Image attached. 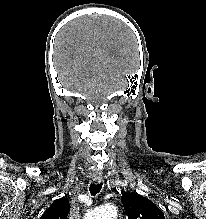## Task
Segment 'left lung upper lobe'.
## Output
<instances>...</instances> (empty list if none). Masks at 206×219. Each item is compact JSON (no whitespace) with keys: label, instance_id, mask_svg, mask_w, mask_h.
<instances>
[{"label":"left lung upper lobe","instance_id":"obj_1","mask_svg":"<svg viewBox=\"0 0 206 219\" xmlns=\"http://www.w3.org/2000/svg\"><path fill=\"white\" fill-rule=\"evenodd\" d=\"M121 201L128 219H165L152 201L137 193H123Z\"/></svg>","mask_w":206,"mask_h":219}]
</instances>
